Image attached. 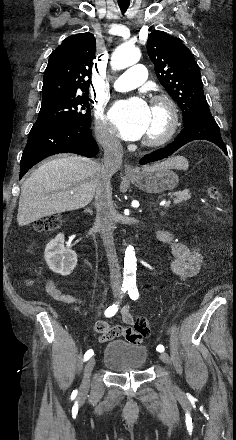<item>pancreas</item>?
Masks as SVG:
<instances>
[{"label":"pancreas","instance_id":"1","mask_svg":"<svg viewBox=\"0 0 236 440\" xmlns=\"http://www.w3.org/2000/svg\"><path fill=\"white\" fill-rule=\"evenodd\" d=\"M174 198V204H179L181 202L187 201L191 198V193L188 189L183 191H178L172 194Z\"/></svg>","mask_w":236,"mask_h":440}]
</instances>
